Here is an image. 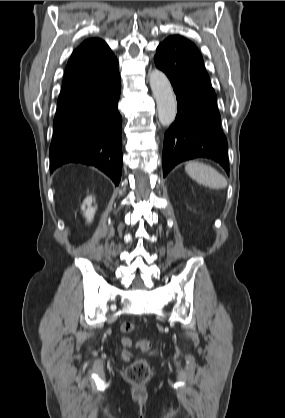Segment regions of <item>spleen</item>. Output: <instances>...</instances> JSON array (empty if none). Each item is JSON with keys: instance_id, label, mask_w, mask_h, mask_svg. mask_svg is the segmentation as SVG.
<instances>
[{"instance_id": "1", "label": "spleen", "mask_w": 285, "mask_h": 418, "mask_svg": "<svg viewBox=\"0 0 285 418\" xmlns=\"http://www.w3.org/2000/svg\"><path fill=\"white\" fill-rule=\"evenodd\" d=\"M187 174L211 189H224L227 187V180L213 167L198 161H190L185 166Z\"/></svg>"}]
</instances>
